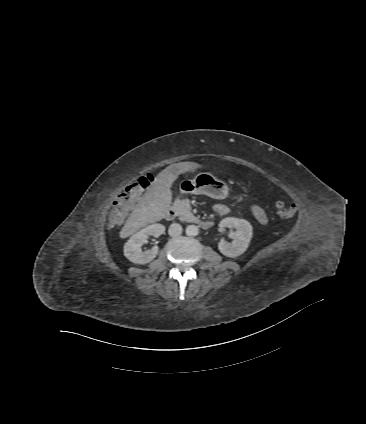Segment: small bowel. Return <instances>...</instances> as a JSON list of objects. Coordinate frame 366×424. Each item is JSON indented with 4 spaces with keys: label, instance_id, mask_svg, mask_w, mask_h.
I'll return each instance as SVG.
<instances>
[{
    "label": "small bowel",
    "instance_id": "c3829d8e",
    "mask_svg": "<svg viewBox=\"0 0 366 424\" xmlns=\"http://www.w3.org/2000/svg\"><path fill=\"white\" fill-rule=\"evenodd\" d=\"M214 210L218 215H225L228 212L227 207L224 204H216L214 206ZM250 212L258 223L262 225L267 224L268 216L262 207L252 205L250 207Z\"/></svg>",
    "mask_w": 366,
    "mask_h": 424
}]
</instances>
